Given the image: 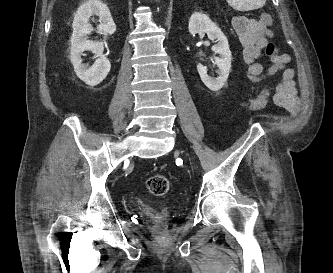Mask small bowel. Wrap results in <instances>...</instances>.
<instances>
[{
  "label": "small bowel",
  "instance_id": "small-bowel-1",
  "mask_svg": "<svg viewBox=\"0 0 333 273\" xmlns=\"http://www.w3.org/2000/svg\"><path fill=\"white\" fill-rule=\"evenodd\" d=\"M233 27L242 46V58L246 65L247 78L258 83L264 79L282 72V76L274 89V101L284 108H292L297 104V91L294 81V70L287 68L290 61L287 54L276 52L270 58V64L258 62L261 51L266 46L268 39L273 37L272 31L262 20L237 16L234 18Z\"/></svg>",
  "mask_w": 333,
  "mask_h": 273
}]
</instances>
